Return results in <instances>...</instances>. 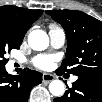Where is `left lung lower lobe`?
I'll return each mask as SVG.
<instances>
[{
	"instance_id": "0a47b994",
	"label": "left lung lower lobe",
	"mask_w": 102,
	"mask_h": 102,
	"mask_svg": "<svg viewBox=\"0 0 102 102\" xmlns=\"http://www.w3.org/2000/svg\"><path fill=\"white\" fill-rule=\"evenodd\" d=\"M102 78L96 76H78L72 87L54 102H101Z\"/></svg>"
}]
</instances>
